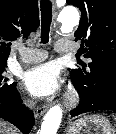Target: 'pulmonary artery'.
Wrapping results in <instances>:
<instances>
[{"label": "pulmonary artery", "instance_id": "1", "mask_svg": "<svg viewBox=\"0 0 116 134\" xmlns=\"http://www.w3.org/2000/svg\"><path fill=\"white\" fill-rule=\"evenodd\" d=\"M18 49L21 51V60L25 63H38L44 61L48 56L47 52L41 49L25 51L20 46ZM55 50L58 53H72L75 52L76 46L73 42L62 39L56 43Z\"/></svg>", "mask_w": 116, "mask_h": 134}]
</instances>
